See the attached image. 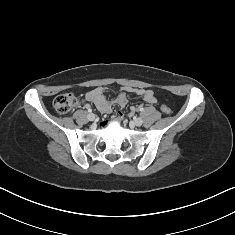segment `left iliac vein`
<instances>
[{
  "mask_svg": "<svg viewBox=\"0 0 235 235\" xmlns=\"http://www.w3.org/2000/svg\"><path fill=\"white\" fill-rule=\"evenodd\" d=\"M133 122L136 126H141L143 124V119L140 117H136L134 118Z\"/></svg>",
  "mask_w": 235,
  "mask_h": 235,
  "instance_id": "left-iliac-vein-1",
  "label": "left iliac vein"
}]
</instances>
